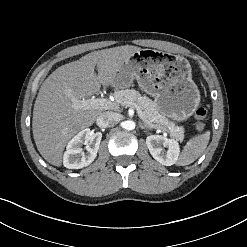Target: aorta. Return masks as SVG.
I'll list each match as a JSON object with an SVG mask.
<instances>
[{
  "label": "aorta",
  "mask_w": 247,
  "mask_h": 247,
  "mask_svg": "<svg viewBox=\"0 0 247 247\" xmlns=\"http://www.w3.org/2000/svg\"><path fill=\"white\" fill-rule=\"evenodd\" d=\"M123 128L126 130H133L135 129V122L132 120H127L123 122Z\"/></svg>",
  "instance_id": "aorta-1"
}]
</instances>
